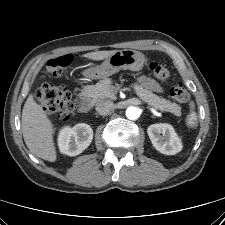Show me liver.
Segmentation results:
<instances>
[{
  "label": "liver",
  "mask_w": 225,
  "mask_h": 225,
  "mask_svg": "<svg viewBox=\"0 0 225 225\" xmlns=\"http://www.w3.org/2000/svg\"><path fill=\"white\" fill-rule=\"evenodd\" d=\"M116 51H96L83 56L99 61L108 58ZM21 127L25 144L30 152L41 159L55 162L57 152L53 141L54 128L46 112L34 100L33 94L28 96L24 104Z\"/></svg>",
  "instance_id": "1"
}]
</instances>
